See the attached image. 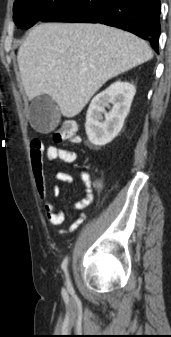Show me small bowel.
Listing matches in <instances>:
<instances>
[{"instance_id": "c3829d8e", "label": "small bowel", "mask_w": 171, "mask_h": 337, "mask_svg": "<svg viewBox=\"0 0 171 337\" xmlns=\"http://www.w3.org/2000/svg\"><path fill=\"white\" fill-rule=\"evenodd\" d=\"M31 145V166L39 199L45 208L48 222L51 225L60 226L65 222V214L55 205L48 191L45 163L60 160L64 163L72 164L77 161L78 155L74 150L54 145L44 148L38 139L32 140ZM80 179L85 187V196L74 204V208L78 213L69 228L67 230H61L60 234L75 231L85 219L84 210L93 202L94 183L90 175L86 171H80ZM55 180L60 184L69 185L73 182V177L70 173L58 171L55 174ZM60 193V186L56 185L52 188V194L54 196H58Z\"/></svg>"}]
</instances>
